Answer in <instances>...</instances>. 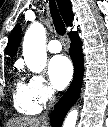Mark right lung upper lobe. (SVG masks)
Returning a JSON list of instances; mask_svg holds the SVG:
<instances>
[{"instance_id":"cb5924a9","label":"right lung upper lobe","mask_w":108,"mask_h":127,"mask_svg":"<svg viewBox=\"0 0 108 127\" xmlns=\"http://www.w3.org/2000/svg\"><path fill=\"white\" fill-rule=\"evenodd\" d=\"M57 3L65 24L68 26H72L73 12L71 9V2L69 0H57ZM20 38L21 27L20 24H17L12 30L9 37V41L5 50V53L7 55L14 57L20 44Z\"/></svg>"}]
</instances>
